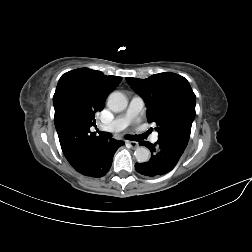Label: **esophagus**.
I'll use <instances>...</instances> for the list:
<instances>
[{"instance_id":"esophagus-1","label":"esophagus","mask_w":252,"mask_h":252,"mask_svg":"<svg viewBox=\"0 0 252 252\" xmlns=\"http://www.w3.org/2000/svg\"><path fill=\"white\" fill-rule=\"evenodd\" d=\"M127 142L133 149L138 147V142L135 141H127Z\"/></svg>"}]
</instances>
